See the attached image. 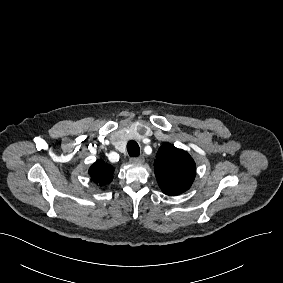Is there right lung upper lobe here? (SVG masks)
Listing matches in <instances>:
<instances>
[{
  "label": "right lung upper lobe",
  "mask_w": 283,
  "mask_h": 283,
  "mask_svg": "<svg viewBox=\"0 0 283 283\" xmlns=\"http://www.w3.org/2000/svg\"><path fill=\"white\" fill-rule=\"evenodd\" d=\"M114 168L102 160H97L89 169L91 180L99 186L109 184L113 179Z\"/></svg>",
  "instance_id": "1"
}]
</instances>
